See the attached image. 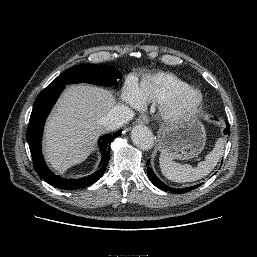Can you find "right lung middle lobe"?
Here are the masks:
<instances>
[{
	"label": "right lung middle lobe",
	"mask_w": 257,
	"mask_h": 257,
	"mask_svg": "<svg viewBox=\"0 0 257 257\" xmlns=\"http://www.w3.org/2000/svg\"><path fill=\"white\" fill-rule=\"evenodd\" d=\"M120 78L121 73L117 69L107 65H76L60 74L47 88L81 82L112 86L115 85Z\"/></svg>",
	"instance_id": "obj_1"
}]
</instances>
